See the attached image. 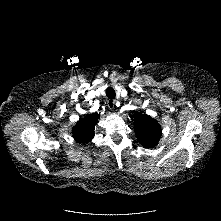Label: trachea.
<instances>
[{
  "instance_id": "obj_1",
  "label": "trachea",
  "mask_w": 221,
  "mask_h": 221,
  "mask_svg": "<svg viewBox=\"0 0 221 221\" xmlns=\"http://www.w3.org/2000/svg\"><path fill=\"white\" fill-rule=\"evenodd\" d=\"M106 96L110 99H114L116 96L115 90L111 87L106 89Z\"/></svg>"
}]
</instances>
